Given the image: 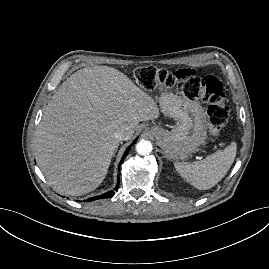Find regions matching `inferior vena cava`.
I'll use <instances>...</instances> for the list:
<instances>
[{
	"instance_id": "inferior-vena-cava-1",
	"label": "inferior vena cava",
	"mask_w": 269,
	"mask_h": 269,
	"mask_svg": "<svg viewBox=\"0 0 269 269\" xmlns=\"http://www.w3.org/2000/svg\"><path fill=\"white\" fill-rule=\"evenodd\" d=\"M126 130L123 128H119L115 131L114 133V137L118 140V141H122L125 140L126 138Z\"/></svg>"
}]
</instances>
